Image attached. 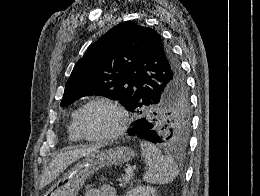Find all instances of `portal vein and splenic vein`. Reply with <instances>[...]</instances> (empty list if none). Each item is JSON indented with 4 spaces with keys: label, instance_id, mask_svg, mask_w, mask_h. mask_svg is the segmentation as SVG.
<instances>
[{
    "label": "portal vein and splenic vein",
    "instance_id": "portal-vein-and-splenic-vein-1",
    "mask_svg": "<svg viewBox=\"0 0 260 196\" xmlns=\"http://www.w3.org/2000/svg\"><path fill=\"white\" fill-rule=\"evenodd\" d=\"M127 174H128V176H130V178H132V176H133V168H128Z\"/></svg>",
    "mask_w": 260,
    "mask_h": 196
}]
</instances>
